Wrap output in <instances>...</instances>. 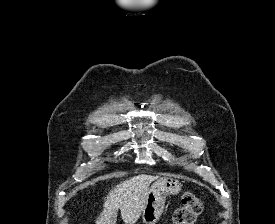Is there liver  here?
<instances>
[{
    "label": "liver",
    "instance_id": "obj_1",
    "mask_svg": "<svg viewBox=\"0 0 275 224\" xmlns=\"http://www.w3.org/2000/svg\"><path fill=\"white\" fill-rule=\"evenodd\" d=\"M157 177L141 174L120 182L109 191L96 224H116L118 210L125 224L139 219L147 202L149 185Z\"/></svg>",
    "mask_w": 275,
    "mask_h": 224
}]
</instances>
